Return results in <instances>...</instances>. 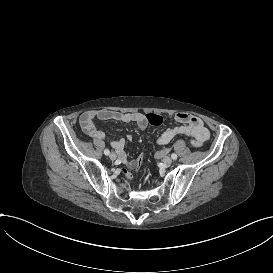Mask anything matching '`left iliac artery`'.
<instances>
[{
	"mask_svg": "<svg viewBox=\"0 0 273 273\" xmlns=\"http://www.w3.org/2000/svg\"><path fill=\"white\" fill-rule=\"evenodd\" d=\"M171 158H172L173 160H176V159H177V155H176L175 153H173V154L171 155Z\"/></svg>",
	"mask_w": 273,
	"mask_h": 273,
	"instance_id": "44dca946",
	"label": "left iliac artery"
}]
</instances>
